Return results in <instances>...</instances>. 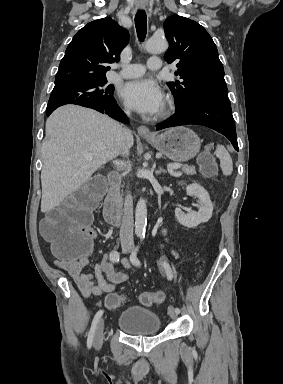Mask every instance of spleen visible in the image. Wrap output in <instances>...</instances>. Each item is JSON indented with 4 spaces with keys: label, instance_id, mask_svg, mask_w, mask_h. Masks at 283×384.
I'll return each mask as SVG.
<instances>
[{
    "label": "spleen",
    "instance_id": "3e777b00",
    "mask_svg": "<svg viewBox=\"0 0 283 384\" xmlns=\"http://www.w3.org/2000/svg\"><path fill=\"white\" fill-rule=\"evenodd\" d=\"M215 154L220 160V168L224 176H231L233 172V162L229 152H227L224 146H219L218 144Z\"/></svg>",
    "mask_w": 283,
    "mask_h": 384
}]
</instances>
